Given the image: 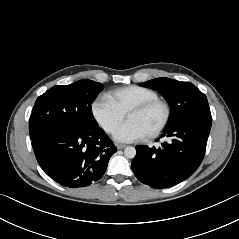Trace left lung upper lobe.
<instances>
[{"instance_id": "1", "label": "left lung upper lobe", "mask_w": 239, "mask_h": 239, "mask_svg": "<svg viewBox=\"0 0 239 239\" xmlns=\"http://www.w3.org/2000/svg\"><path fill=\"white\" fill-rule=\"evenodd\" d=\"M139 85L157 90L169 103L171 111L167 125L189 118H211L205 94L190 82L156 78Z\"/></svg>"}]
</instances>
